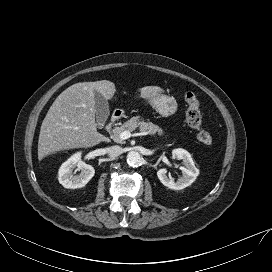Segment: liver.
<instances>
[{"mask_svg":"<svg viewBox=\"0 0 272 272\" xmlns=\"http://www.w3.org/2000/svg\"><path fill=\"white\" fill-rule=\"evenodd\" d=\"M106 100L114 98L116 86L108 80L79 82L65 89L49 108L40 128L38 160L76 148H89L109 139L97 131L94 91ZM164 92L159 86H145L140 97Z\"/></svg>","mask_w":272,"mask_h":272,"instance_id":"liver-1","label":"liver"}]
</instances>
